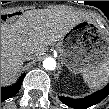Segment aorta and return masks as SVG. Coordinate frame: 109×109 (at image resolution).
Returning a JSON list of instances; mask_svg holds the SVG:
<instances>
[{
  "mask_svg": "<svg viewBox=\"0 0 109 109\" xmlns=\"http://www.w3.org/2000/svg\"><path fill=\"white\" fill-rule=\"evenodd\" d=\"M43 67L46 69V70H54L56 68V61L54 58H46L44 61H43Z\"/></svg>",
  "mask_w": 109,
  "mask_h": 109,
  "instance_id": "aorta-1",
  "label": "aorta"
}]
</instances>
